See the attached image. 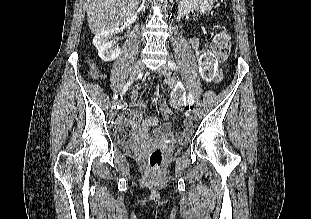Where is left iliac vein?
<instances>
[{"label":"left iliac vein","mask_w":311,"mask_h":219,"mask_svg":"<svg viewBox=\"0 0 311 219\" xmlns=\"http://www.w3.org/2000/svg\"><path fill=\"white\" fill-rule=\"evenodd\" d=\"M158 72L164 76L166 79H170L171 77V70L169 68L168 65L164 64L162 65L159 69H158ZM190 113H191V118L194 119L195 118V115H196V112H195V109L192 108L190 109Z\"/></svg>","instance_id":"left-iliac-vein-1"}]
</instances>
